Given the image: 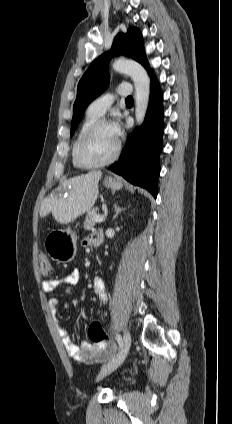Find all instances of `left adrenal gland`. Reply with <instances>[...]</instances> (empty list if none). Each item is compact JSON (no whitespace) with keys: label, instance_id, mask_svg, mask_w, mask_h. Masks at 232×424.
Returning <instances> with one entry per match:
<instances>
[{"label":"left adrenal gland","instance_id":"a2214340","mask_svg":"<svg viewBox=\"0 0 232 424\" xmlns=\"http://www.w3.org/2000/svg\"><path fill=\"white\" fill-rule=\"evenodd\" d=\"M114 209H115V215L113 217V220L116 219L122 211L126 210V208H120L116 204L114 205Z\"/></svg>","mask_w":232,"mask_h":424}]
</instances>
